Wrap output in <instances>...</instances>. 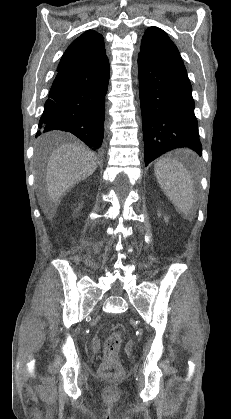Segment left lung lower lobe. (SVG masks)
I'll list each match as a JSON object with an SVG mask.
<instances>
[{"instance_id": "1", "label": "left lung lower lobe", "mask_w": 231, "mask_h": 419, "mask_svg": "<svg viewBox=\"0 0 231 419\" xmlns=\"http://www.w3.org/2000/svg\"><path fill=\"white\" fill-rule=\"evenodd\" d=\"M145 166L160 155L190 148L202 155L192 87L186 69L138 55Z\"/></svg>"}]
</instances>
